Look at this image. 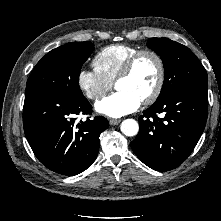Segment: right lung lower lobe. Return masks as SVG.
<instances>
[{
  "mask_svg": "<svg viewBox=\"0 0 221 221\" xmlns=\"http://www.w3.org/2000/svg\"><path fill=\"white\" fill-rule=\"evenodd\" d=\"M83 97L74 99L58 93L28 89L23 107L25 136L34 154L48 169L62 175H77L95 161L99 136L109 127L106 118L75 123V116L91 114Z\"/></svg>",
  "mask_w": 221,
  "mask_h": 221,
  "instance_id": "right-lung-lower-lobe-1",
  "label": "right lung lower lobe"
}]
</instances>
